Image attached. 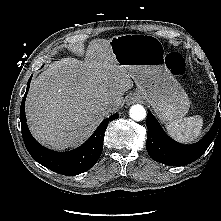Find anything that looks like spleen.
Returning a JSON list of instances; mask_svg holds the SVG:
<instances>
[{"mask_svg":"<svg viewBox=\"0 0 221 221\" xmlns=\"http://www.w3.org/2000/svg\"><path fill=\"white\" fill-rule=\"evenodd\" d=\"M203 119L199 115L171 121L166 129L170 136L179 142L188 143L201 135Z\"/></svg>","mask_w":221,"mask_h":221,"instance_id":"obj_1","label":"spleen"}]
</instances>
